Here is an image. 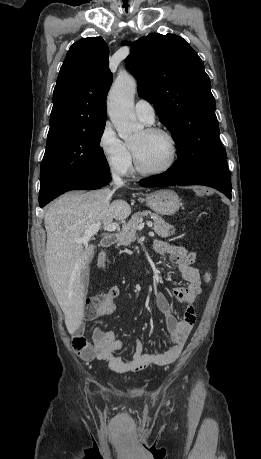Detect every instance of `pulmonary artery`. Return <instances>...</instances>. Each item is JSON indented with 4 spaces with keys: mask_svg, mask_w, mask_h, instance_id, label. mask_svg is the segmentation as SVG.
Here are the masks:
<instances>
[{
    "mask_svg": "<svg viewBox=\"0 0 261 459\" xmlns=\"http://www.w3.org/2000/svg\"><path fill=\"white\" fill-rule=\"evenodd\" d=\"M135 114L139 120L145 124H151L155 119V110L152 104L144 99H140L135 104Z\"/></svg>",
    "mask_w": 261,
    "mask_h": 459,
    "instance_id": "pulmonary-artery-1",
    "label": "pulmonary artery"
}]
</instances>
